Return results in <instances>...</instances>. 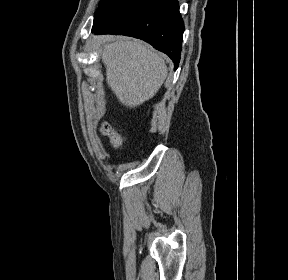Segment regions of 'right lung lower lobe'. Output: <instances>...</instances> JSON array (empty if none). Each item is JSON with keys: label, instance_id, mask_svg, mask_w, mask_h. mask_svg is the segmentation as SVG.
I'll use <instances>...</instances> for the list:
<instances>
[{"label": "right lung lower lobe", "instance_id": "right-lung-lower-lobe-1", "mask_svg": "<svg viewBox=\"0 0 288 280\" xmlns=\"http://www.w3.org/2000/svg\"><path fill=\"white\" fill-rule=\"evenodd\" d=\"M92 32L142 39L167 54L178 68L184 23L177 0H121L94 19Z\"/></svg>", "mask_w": 288, "mask_h": 280}]
</instances>
